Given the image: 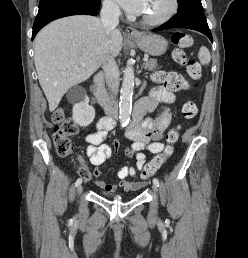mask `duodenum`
<instances>
[{"label":"duodenum","instance_id":"1","mask_svg":"<svg viewBox=\"0 0 248 258\" xmlns=\"http://www.w3.org/2000/svg\"><path fill=\"white\" fill-rule=\"evenodd\" d=\"M94 95L100 107L111 117L117 118V107L110 101L104 89V74L99 72L94 77Z\"/></svg>","mask_w":248,"mask_h":258}]
</instances>
